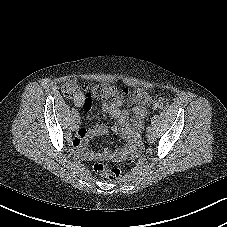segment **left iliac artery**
Returning <instances> with one entry per match:
<instances>
[{
	"label": "left iliac artery",
	"mask_w": 227,
	"mask_h": 227,
	"mask_svg": "<svg viewBox=\"0 0 227 227\" xmlns=\"http://www.w3.org/2000/svg\"><path fill=\"white\" fill-rule=\"evenodd\" d=\"M147 131H148V132H151V131H152L151 126H148V127H147Z\"/></svg>",
	"instance_id": "left-iliac-artery-1"
}]
</instances>
